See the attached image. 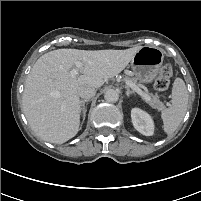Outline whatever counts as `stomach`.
Segmentation results:
<instances>
[{
	"mask_svg": "<svg viewBox=\"0 0 201 201\" xmlns=\"http://www.w3.org/2000/svg\"><path fill=\"white\" fill-rule=\"evenodd\" d=\"M164 55L155 47H141L131 60L133 75L142 83L152 82L163 64Z\"/></svg>",
	"mask_w": 201,
	"mask_h": 201,
	"instance_id": "obj_1",
	"label": "stomach"
}]
</instances>
